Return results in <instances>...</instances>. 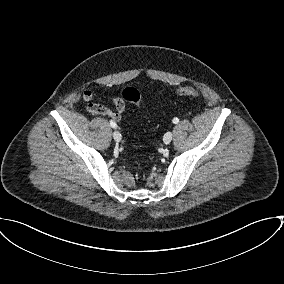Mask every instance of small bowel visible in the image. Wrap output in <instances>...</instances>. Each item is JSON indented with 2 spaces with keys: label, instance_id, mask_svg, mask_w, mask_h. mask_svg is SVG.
I'll return each instance as SVG.
<instances>
[{
  "label": "small bowel",
  "instance_id": "c3829d8e",
  "mask_svg": "<svg viewBox=\"0 0 284 284\" xmlns=\"http://www.w3.org/2000/svg\"><path fill=\"white\" fill-rule=\"evenodd\" d=\"M82 99L87 103L86 110L88 113L93 115L109 116L114 122H119L121 120L126 108L125 101L119 96H113L111 98L115 105V111L105 107L104 105L94 102L96 99V94L91 90H85L82 94Z\"/></svg>",
  "mask_w": 284,
  "mask_h": 284
}]
</instances>
